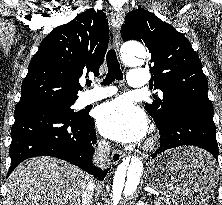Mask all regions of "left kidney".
<instances>
[{
  "instance_id": "5707ae66",
  "label": "left kidney",
  "mask_w": 222,
  "mask_h": 205,
  "mask_svg": "<svg viewBox=\"0 0 222 205\" xmlns=\"http://www.w3.org/2000/svg\"><path fill=\"white\" fill-rule=\"evenodd\" d=\"M136 205H148V204L144 203L143 201H139Z\"/></svg>"
}]
</instances>
